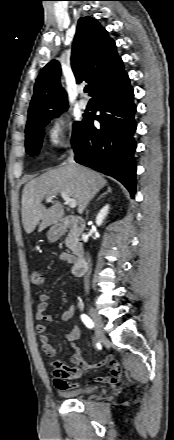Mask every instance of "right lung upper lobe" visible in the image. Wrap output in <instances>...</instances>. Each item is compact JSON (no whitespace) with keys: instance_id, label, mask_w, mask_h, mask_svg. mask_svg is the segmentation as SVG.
Instances as JSON below:
<instances>
[{"instance_id":"1","label":"right lung upper lobe","mask_w":174,"mask_h":440,"mask_svg":"<svg viewBox=\"0 0 174 440\" xmlns=\"http://www.w3.org/2000/svg\"><path fill=\"white\" fill-rule=\"evenodd\" d=\"M115 42L90 16L80 18L73 41L71 66L77 82L90 85V95L108 73L121 62ZM67 107V96L60 85V64L49 62L38 76L26 129L59 115Z\"/></svg>"}]
</instances>
